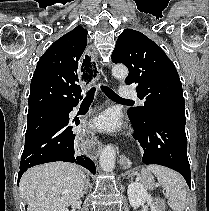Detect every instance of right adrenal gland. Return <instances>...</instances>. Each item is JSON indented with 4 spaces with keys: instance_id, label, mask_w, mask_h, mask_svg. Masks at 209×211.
<instances>
[{
    "instance_id": "1",
    "label": "right adrenal gland",
    "mask_w": 209,
    "mask_h": 211,
    "mask_svg": "<svg viewBox=\"0 0 209 211\" xmlns=\"http://www.w3.org/2000/svg\"><path fill=\"white\" fill-rule=\"evenodd\" d=\"M88 187H89V178H86V180H85V187H84L83 194H85V193L87 192Z\"/></svg>"
}]
</instances>
